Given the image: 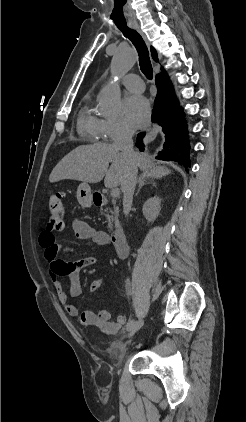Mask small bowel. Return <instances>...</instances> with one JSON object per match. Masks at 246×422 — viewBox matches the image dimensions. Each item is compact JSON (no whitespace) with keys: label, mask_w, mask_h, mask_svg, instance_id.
I'll return each mask as SVG.
<instances>
[{"label":"small bowel","mask_w":246,"mask_h":422,"mask_svg":"<svg viewBox=\"0 0 246 422\" xmlns=\"http://www.w3.org/2000/svg\"><path fill=\"white\" fill-rule=\"evenodd\" d=\"M73 228L76 237L82 241H92L100 245L108 244V237L105 232L99 231L91 227L84 221L75 220ZM39 245L44 250V258L48 265L49 275L52 284L57 292L60 302L64 305L66 311L84 326L98 327L102 331L110 334H115L126 323L124 315H118L116 320H112L111 313L105 309L98 312L85 310L79 312L76 305L69 301L71 297H78L82 293L81 271L85 267L93 266L97 263L94 257H84L74 262H67L60 259V253H71L73 249L65 244H60L56 241L54 230L47 226L39 234ZM69 276L71 285L69 295L65 292L60 277ZM104 287V281L97 279L90 283L91 291H97Z\"/></svg>","instance_id":"small-bowel-1"}]
</instances>
